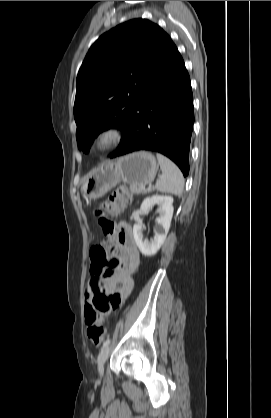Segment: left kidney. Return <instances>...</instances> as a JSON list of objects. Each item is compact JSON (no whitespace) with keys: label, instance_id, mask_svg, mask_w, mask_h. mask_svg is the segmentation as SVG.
<instances>
[{"label":"left kidney","instance_id":"1","mask_svg":"<svg viewBox=\"0 0 271 418\" xmlns=\"http://www.w3.org/2000/svg\"><path fill=\"white\" fill-rule=\"evenodd\" d=\"M156 204L160 209V216L157 218L159 227L155 231L153 240L149 242L143 239L142 229L144 225L142 222L136 223L133 227L135 242L140 252L147 257L155 255L163 245L173 216V198L171 196L153 195L147 197L143 201L140 210L143 213H148V211Z\"/></svg>","mask_w":271,"mask_h":418}]
</instances>
